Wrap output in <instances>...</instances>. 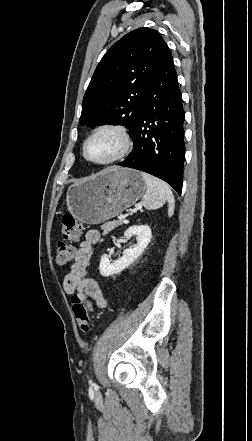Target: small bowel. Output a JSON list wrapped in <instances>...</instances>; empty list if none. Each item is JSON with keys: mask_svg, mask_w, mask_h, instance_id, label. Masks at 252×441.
I'll return each mask as SVG.
<instances>
[{"mask_svg": "<svg viewBox=\"0 0 252 441\" xmlns=\"http://www.w3.org/2000/svg\"><path fill=\"white\" fill-rule=\"evenodd\" d=\"M100 234L97 230H89L81 241L74 255L73 264L63 281V288L66 293H77L86 306L92 310L93 300L97 307L104 308L107 304L99 284L96 280L86 277L87 267L90 263L93 247L98 243Z\"/></svg>", "mask_w": 252, "mask_h": 441, "instance_id": "small-bowel-1", "label": "small bowel"}]
</instances>
